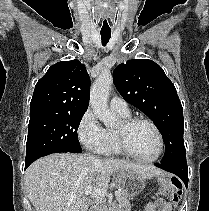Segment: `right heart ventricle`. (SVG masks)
<instances>
[{
    "label": "right heart ventricle",
    "instance_id": "right-heart-ventricle-1",
    "mask_svg": "<svg viewBox=\"0 0 209 211\" xmlns=\"http://www.w3.org/2000/svg\"><path fill=\"white\" fill-rule=\"evenodd\" d=\"M118 115L123 119L130 117V113H118ZM97 152L105 157H121L123 155L118 146L115 129H105V140Z\"/></svg>",
    "mask_w": 209,
    "mask_h": 211
}]
</instances>
